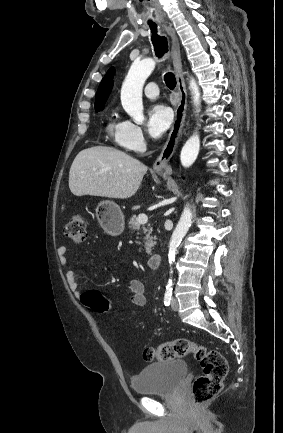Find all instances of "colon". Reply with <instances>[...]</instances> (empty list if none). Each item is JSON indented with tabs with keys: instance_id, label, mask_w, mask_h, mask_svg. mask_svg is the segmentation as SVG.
I'll use <instances>...</instances> for the list:
<instances>
[{
	"instance_id": "1",
	"label": "colon",
	"mask_w": 283,
	"mask_h": 433,
	"mask_svg": "<svg viewBox=\"0 0 283 433\" xmlns=\"http://www.w3.org/2000/svg\"><path fill=\"white\" fill-rule=\"evenodd\" d=\"M64 235L74 245H83L87 239L85 217L81 214L71 215L64 227ZM80 299L85 307L95 313L103 314L110 309L108 300L96 290L83 293ZM189 355H193L202 368V375L193 384V400L195 404L201 405L221 391L228 373V362L219 351L207 349L187 338H178L156 347H148L143 352V358L148 361H169Z\"/></svg>"
}]
</instances>
